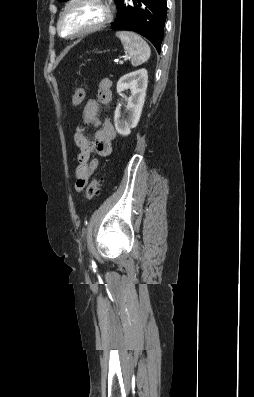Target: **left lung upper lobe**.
Wrapping results in <instances>:
<instances>
[{
    "label": "left lung upper lobe",
    "mask_w": 254,
    "mask_h": 397,
    "mask_svg": "<svg viewBox=\"0 0 254 397\" xmlns=\"http://www.w3.org/2000/svg\"><path fill=\"white\" fill-rule=\"evenodd\" d=\"M58 1L62 2V1H67V0H58Z\"/></svg>",
    "instance_id": "obj_1"
}]
</instances>
